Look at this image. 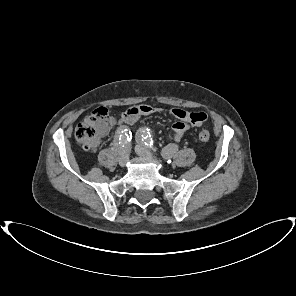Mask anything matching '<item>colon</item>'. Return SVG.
Wrapping results in <instances>:
<instances>
[{
  "mask_svg": "<svg viewBox=\"0 0 296 296\" xmlns=\"http://www.w3.org/2000/svg\"><path fill=\"white\" fill-rule=\"evenodd\" d=\"M206 118L207 115L203 113L192 115V120L195 122H204ZM111 120L106 108L95 109L76 127L75 138L77 142L86 150L96 149L100 145L102 137L108 132ZM198 137L201 142H207L210 139V134L207 131H201Z\"/></svg>",
  "mask_w": 296,
  "mask_h": 296,
  "instance_id": "5ec220e1",
  "label": "colon"
}]
</instances>
